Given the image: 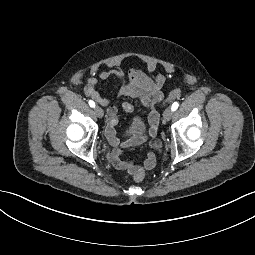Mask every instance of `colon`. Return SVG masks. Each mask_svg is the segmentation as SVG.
I'll use <instances>...</instances> for the list:
<instances>
[{
    "label": "colon",
    "instance_id": "5ec220e1",
    "mask_svg": "<svg viewBox=\"0 0 255 255\" xmlns=\"http://www.w3.org/2000/svg\"><path fill=\"white\" fill-rule=\"evenodd\" d=\"M180 94H181V90L179 88L172 90L169 93L167 99L165 100V103H170L176 100L180 96ZM145 178H146V172L144 170H139L133 174V179L135 182H138V183L142 182L145 180Z\"/></svg>",
    "mask_w": 255,
    "mask_h": 255
}]
</instances>
